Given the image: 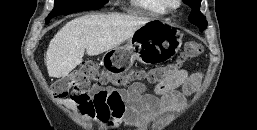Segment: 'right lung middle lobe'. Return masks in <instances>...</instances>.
Masks as SVG:
<instances>
[{"label":"right lung middle lobe","mask_w":257,"mask_h":130,"mask_svg":"<svg viewBox=\"0 0 257 130\" xmlns=\"http://www.w3.org/2000/svg\"><path fill=\"white\" fill-rule=\"evenodd\" d=\"M107 1L108 0H54V9L46 18V23L55 15L100 8Z\"/></svg>","instance_id":"obj_1"}]
</instances>
